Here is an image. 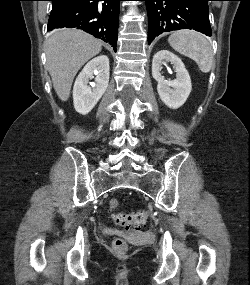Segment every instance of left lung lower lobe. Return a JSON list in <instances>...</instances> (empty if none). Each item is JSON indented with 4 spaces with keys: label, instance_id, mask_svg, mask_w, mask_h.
<instances>
[{
    "label": "left lung lower lobe",
    "instance_id": "1",
    "mask_svg": "<svg viewBox=\"0 0 250 285\" xmlns=\"http://www.w3.org/2000/svg\"><path fill=\"white\" fill-rule=\"evenodd\" d=\"M148 13V44L162 34L180 29H194L211 36L208 4L210 0H141Z\"/></svg>",
    "mask_w": 250,
    "mask_h": 285
}]
</instances>
